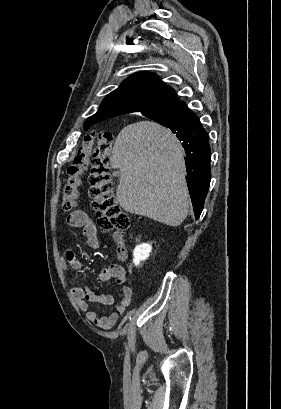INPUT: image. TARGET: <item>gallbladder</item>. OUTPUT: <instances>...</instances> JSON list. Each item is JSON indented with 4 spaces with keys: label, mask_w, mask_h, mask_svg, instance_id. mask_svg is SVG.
<instances>
[{
    "label": "gallbladder",
    "mask_w": 281,
    "mask_h": 409,
    "mask_svg": "<svg viewBox=\"0 0 281 409\" xmlns=\"http://www.w3.org/2000/svg\"><path fill=\"white\" fill-rule=\"evenodd\" d=\"M114 176H116V172H114Z\"/></svg>",
    "instance_id": "bac80fb5"
}]
</instances>
